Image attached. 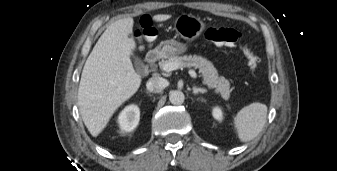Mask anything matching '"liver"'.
I'll list each match as a JSON object with an SVG mask.
<instances>
[{
	"mask_svg": "<svg viewBox=\"0 0 337 171\" xmlns=\"http://www.w3.org/2000/svg\"><path fill=\"white\" fill-rule=\"evenodd\" d=\"M171 18L169 14L153 16L156 22ZM132 17L112 23L101 35L88 56L78 89V106L82 120L93 137L106 127L113 113L131 98L141 85L130 56L136 43Z\"/></svg>",
	"mask_w": 337,
	"mask_h": 171,
	"instance_id": "6515ba94",
	"label": "liver"
}]
</instances>
